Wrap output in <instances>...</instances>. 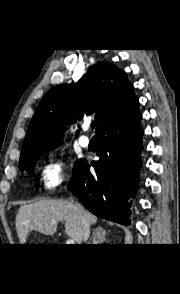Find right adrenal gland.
Segmentation results:
<instances>
[{"instance_id": "1", "label": "right adrenal gland", "mask_w": 180, "mask_h": 294, "mask_svg": "<svg viewBox=\"0 0 180 294\" xmlns=\"http://www.w3.org/2000/svg\"><path fill=\"white\" fill-rule=\"evenodd\" d=\"M106 240V231L102 227H97L93 232V243L102 244Z\"/></svg>"}]
</instances>
